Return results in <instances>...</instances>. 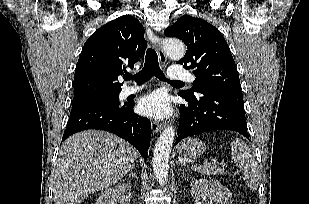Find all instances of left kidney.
<instances>
[{
  "instance_id": "left-kidney-1",
  "label": "left kidney",
  "mask_w": 309,
  "mask_h": 204,
  "mask_svg": "<svg viewBox=\"0 0 309 204\" xmlns=\"http://www.w3.org/2000/svg\"><path fill=\"white\" fill-rule=\"evenodd\" d=\"M191 195L195 199L208 197L215 204H235L230 191L216 180L199 179L193 181Z\"/></svg>"
}]
</instances>
